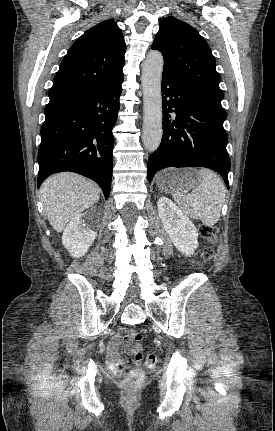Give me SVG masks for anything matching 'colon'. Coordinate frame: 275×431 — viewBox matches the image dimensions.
I'll return each mask as SVG.
<instances>
[{
	"instance_id": "obj_1",
	"label": "colon",
	"mask_w": 275,
	"mask_h": 431,
	"mask_svg": "<svg viewBox=\"0 0 275 431\" xmlns=\"http://www.w3.org/2000/svg\"><path fill=\"white\" fill-rule=\"evenodd\" d=\"M200 233L201 235L210 240L211 242H215L218 229L214 226L202 224L200 226ZM213 256V250L212 248H206L204 253V262L208 261ZM142 338L141 334L135 330H130L127 333V339L128 340H135L140 341ZM133 353L135 355V358L137 361L141 363L139 366L133 368V369H127L126 364H121L116 370V373L120 376H122V385L127 390H137L139 389L144 382V371L143 366L146 367H153L157 363V357L154 353H147L146 355L143 354L142 348L139 344H136L133 347Z\"/></svg>"
}]
</instances>
